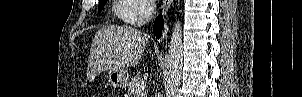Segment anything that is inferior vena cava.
<instances>
[{
  "instance_id": "inferior-vena-cava-1",
  "label": "inferior vena cava",
  "mask_w": 302,
  "mask_h": 97,
  "mask_svg": "<svg viewBox=\"0 0 302 97\" xmlns=\"http://www.w3.org/2000/svg\"><path fill=\"white\" fill-rule=\"evenodd\" d=\"M154 9H155V3H154V1H152L150 4V10L153 12Z\"/></svg>"
}]
</instances>
